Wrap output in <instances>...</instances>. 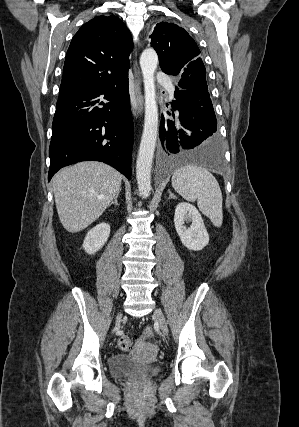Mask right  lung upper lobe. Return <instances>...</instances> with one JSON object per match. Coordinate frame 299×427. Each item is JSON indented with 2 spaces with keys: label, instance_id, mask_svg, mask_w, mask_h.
I'll use <instances>...</instances> for the list:
<instances>
[{
  "label": "right lung upper lobe",
  "instance_id": "cb5924a9",
  "mask_svg": "<svg viewBox=\"0 0 299 427\" xmlns=\"http://www.w3.org/2000/svg\"><path fill=\"white\" fill-rule=\"evenodd\" d=\"M132 48L129 30L115 16H97L83 24L67 51L59 98L122 76Z\"/></svg>",
  "mask_w": 299,
  "mask_h": 427
}]
</instances>
